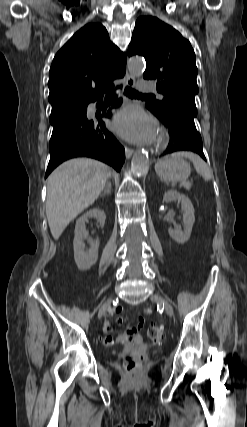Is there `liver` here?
Here are the masks:
<instances>
[{"label":"liver","instance_id":"1","mask_svg":"<svg viewBox=\"0 0 247 427\" xmlns=\"http://www.w3.org/2000/svg\"><path fill=\"white\" fill-rule=\"evenodd\" d=\"M109 176L107 165L89 158L68 160L50 174L46 216L55 240L72 220L95 202Z\"/></svg>","mask_w":247,"mask_h":427}]
</instances>
